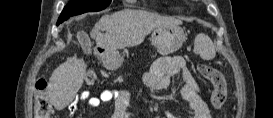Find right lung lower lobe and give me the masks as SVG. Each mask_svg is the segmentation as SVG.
<instances>
[{
    "label": "right lung lower lobe",
    "instance_id": "98d812e1",
    "mask_svg": "<svg viewBox=\"0 0 273 118\" xmlns=\"http://www.w3.org/2000/svg\"><path fill=\"white\" fill-rule=\"evenodd\" d=\"M63 21H65V19L59 18L57 21V25H59L60 23H62Z\"/></svg>",
    "mask_w": 273,
    "mask_h": 118
}]
</instances>
